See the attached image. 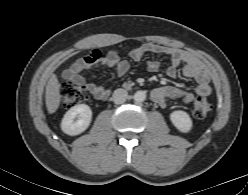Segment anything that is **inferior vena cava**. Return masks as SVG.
<instances>
[{
  "mask_svg": "<svg viewBox=\"0 0 248 195\" xmlns=\"http://www.w3.org/2000/svg\"><path fill=\"white\" fill-rule=\"evenodd\" d=\"M128 93L124 89H116L112 95V100L115 104H122L126 101Z\"/></svg>",
  "mask_w": 248,
  "mask_h": 195,
  "instance_id": "1",
  "label": "inferior vena cava"
}]
</instances>
